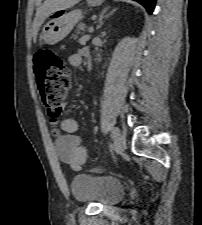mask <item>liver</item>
<instances>
[{
  "instance_id": "obj_1",
  "label": "liver",
  "mask_w": 202,
  "mask_h": 225,
  "mask_svg": "<svg viewBox=\"0 0 202 225\" xmlns=\"http://www.w3.org/2000/svg\"><path fill=\"white\" fill-rule=\"evenodd\" d=\"M79 2L80 0H45L36 11L32 28L34 42L36 41L40 26L45 22L49 15L55 13L58 10L68 9Z\"/></svg>"
}]
</instances>
